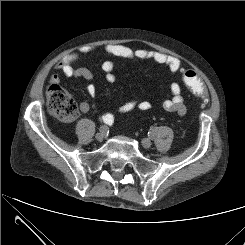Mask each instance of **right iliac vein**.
<instances>
[{"label":"right iliac vein","mask_w":245,"mask_h":245,"mask_svg":"<svg viewBox=\"0 0 245 245\" xmlns=\"http://www.w3.org/2000/svg\"><path fill=\"white\" fill-rule=\"evenodd\" d=\"M95 138H96L97 141L102 142L104 140V138H105V134L102 133V132H99V133L96 134Z\"/></svg>","instance_id":"obj_1"}]
</instances>
